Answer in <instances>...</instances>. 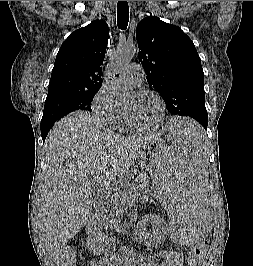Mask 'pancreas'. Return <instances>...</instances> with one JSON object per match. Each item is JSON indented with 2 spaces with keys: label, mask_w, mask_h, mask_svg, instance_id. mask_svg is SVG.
Here are the masks:
<instances>
[{
  "label": "pancreas",
  "mask_w": 253,
  "mask_h": 266,
  "mask_svg": "<svg viewBox=\"0 0 253 266\" xmlns=\"http://www.w3.org/2000/svg\"><path fill=\"white\" fill-rule=\"evenodd\" d=\"M148 175L140 173L135 182H133L128 189L115 190L114 194L106 200L107 206L104 207L98 215L106 228H112L115 223H118L120 214L127 208L131 201L136 197L141 201H148L150 198V190L147 187L149 180ZM132 194V195H131Z\"/></svg>",
  "instance_id": "pancreas-1"
}]
</instances>
